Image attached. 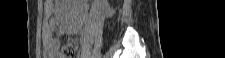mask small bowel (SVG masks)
<instances>
[{
	"instance_id": "1",
	"label": "small bowel",
	"mask_w": 225,
	"mask_h": 58,
	"mask_svg": "<svg viewBox=\"0 0 225 58\" xmlns=\"http://www.w3.org/2000/svg\"><path fill=\"white\" fill-rule=\"evenodd\" d=\"M52 9H53V4L51 2H48L45 5V21H44V28H43V49L45 54L49 58L62 57V55L59 54V51L61 49V42L55 36V32L56 30H58L60 33H65L68 30L64 27H59L57 29L56 22L51 17Z\"/></svg>"
}]
</instances>
